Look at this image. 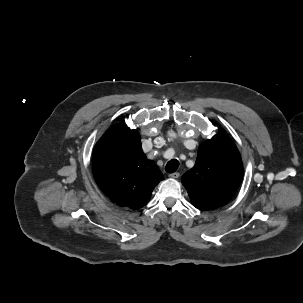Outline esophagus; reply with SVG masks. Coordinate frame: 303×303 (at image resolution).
<instances>
[{"mask_svg": "<svg viewBox=\"0 0 303 303\" xmlns=\"http://www.w3.org/2000/svg\"><path fill=\"white\" fill-rule=\"evenodd\" d=\"M180 176L179 172H174L169 175L170 178L177 179Z\"/></svg>", "mask_w": 303, "mask_h": 303, "instance_id": "obj_1", "label": "esophagus"}]
</instances>
